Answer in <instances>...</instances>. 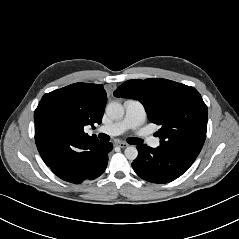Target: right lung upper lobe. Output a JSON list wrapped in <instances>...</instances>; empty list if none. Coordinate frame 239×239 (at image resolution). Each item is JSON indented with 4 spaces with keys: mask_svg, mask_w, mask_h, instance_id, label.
Segmentation results:
<instances>
[{
    "mask_svg": "<svg viewBox=\"0 0 239 239\" xmlns=\"http://www.w3.org/2000/svg\"><path fill=\"white\" fill-rule=\"evenodd\" d=\"M106 101L103 86L93 83L71 84L42 97L34 113L35 141L46 164L63 146L98 140L84 127L102 122Z\"/></svg>",
    "mask_w": 239,
    "mask_h": 239,
    "instance_id": "cb5924a9",
    "label": "right lung upper lobe"
}]
</instances>
